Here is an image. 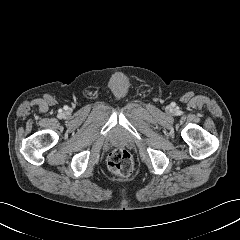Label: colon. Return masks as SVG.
I'll return each mask as SVG.
<instances>
[{"label": "colon", "mask_w": 240, "mask_h": 240, "mask_svg": "<svg viewBox=\"0 0 240 240\" xmlns=\"http://www.w3.org/2000/svg\"><path fill=\"white\" fill-rule=\"evenodd\" d=\"M108 167L116 175L128 176L133 172L134 161L125 149H115L108 156Z\"/></svg>", "instance_id": "5ec220e1"}]
</instances>
